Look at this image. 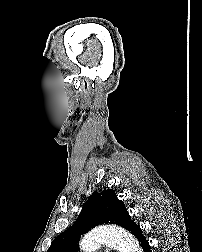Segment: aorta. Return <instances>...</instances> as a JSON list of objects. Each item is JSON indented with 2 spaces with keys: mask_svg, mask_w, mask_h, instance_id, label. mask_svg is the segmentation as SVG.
<instances>
[{
  "mask_svg": "<svg viewBox=\"0 0 202 252\" xmlns=\"http://www.w3.org/2000/svg\"><path fill=\"white\" fill-rule=\"evenodd\" d=\"M102 243L119 252H142L137 240L128 231L119 227H105L90 232L80 242V248L83 252H94Z\"/></svg>",
  "mask_w": 202,
  "mask_h": 252,
  "instance_id": "1",
  "label": "aorta"
}]
</instances>
